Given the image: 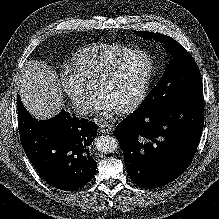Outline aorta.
<instances>
[{
  "instance_id": "aorta-1",
  "label": "aorta",
  "mask_w": 219,
  "mask_h": 219,
  "mask_svg": "<svg viewBox=\"0 0 219 219\" xmlns=\"http://www.w3.org/2000/svg\"><path fill=\"white\" fill-rule=\"evenodd\" d=\"M118 140L109 135H102L95 141V146L102 153H112L118 148Z\"/></svg>"
}]
</instances>
